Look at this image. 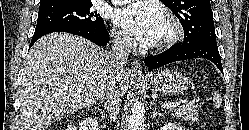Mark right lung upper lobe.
Listing matches in <instances>:
<instances>
[{
  "label": "right lung upper lobe",
  "instance_id": "obj_1",
  "mask_svg": "<svg viewBox=\"0 0 249 130\" xmlns=\"http://www.w3.org/2000/svg\"><path fill=\"white\" fill-rule=\"evenodd\" d=\"M71 0H41L40 1V7H44V6H52L55 4H61V3H65Z\"/></svg>",
  "mask_w": 249,
  "mask_h": 130
}]
</instances>
